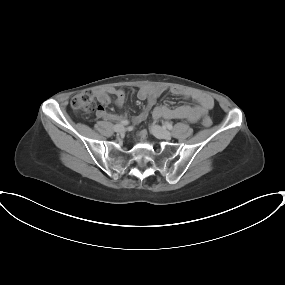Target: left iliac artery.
<instances>
[{
    "label": "left iliac artery",
    "mask_w": 285,
    "mask_h": 285,
    "mask_svg": "<svg viewBox=\"0 0 285 285\" xmlns=\"http://www.w3.org/2000/svg\"><path fill=\"white\" fill-rule=\"evenodd\" d=\"M165 127L167 128V129H169V130H172L173 129V126H172V124L171 123H169V122H165Z\"/></svg>",
    "instance_id": "left-iliac-artery-1"
}]
</instances>
